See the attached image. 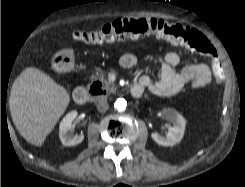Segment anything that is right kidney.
Wrapping results in <instances>:
<instances>
[{"label": "right kidney", "mask_w": 245, "mask_h": 187, "mask_svg": "<svg viewBox=\"0 0 245 187\" xmlns=\"http://www.w3.org/2000/svg\"><path fill=\"white\" fill-rule=\"evenodd\" d=\"M77 116V111H71L60 122L59 137L64 146H75L84 140L83 134L75 135L73 133L72 122L77 118Z\"/></svg>", "instance_id": "obj_1"}]
</instances>
